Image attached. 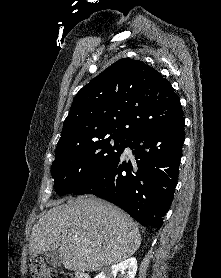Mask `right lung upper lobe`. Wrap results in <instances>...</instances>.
Wrapping results in <instances>:
<instances>
[{
    "label": "right lung upper lobe",
    "instance_id": "1",
    "mask_svg": "<svg viewBox=\"0 0 221 278\" xmlns=\"http://www.w3.org/2000/svg\"><path fill=\"white\" fill-rule=\"evenodd\" d=\"M184 116L172 85L142 61L121 59L75 96L56 152L103 136L129 138Z\"/></svg>",
    "mask_w": 221,
    "mask_h": 278
}]
</instances>
